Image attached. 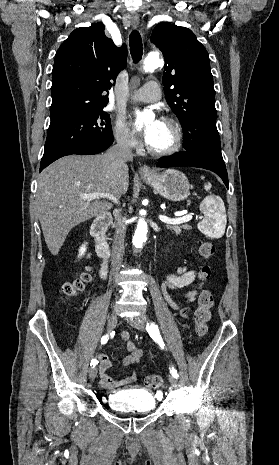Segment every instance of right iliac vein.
Returning <instances> with one entry per match:
<instances>
[{"label": "right iliac vein", "instance_id": "right-iliac-vein-1", "mask_svg": "<svg viewBox=\"0 0 279 465\" xmlns=\"http://www.w3.org/2000/svg\"><path fill=\"white\" fill-rule=\"evenodd\" d=\"M117 323H118V315H117L116 313H112V314L109 316L108 322H107V329H108V331H109V332L112 331V330L116 327ZM97 373H98L97 367H95V366H94V367H91V368L89 369V378H90L91 380H94V379L96 378V376H97Z\"/></svg>", "mask_w": 279, "mask_h": 465}]
</instances>
